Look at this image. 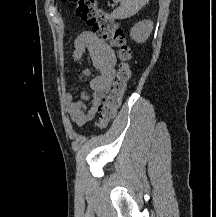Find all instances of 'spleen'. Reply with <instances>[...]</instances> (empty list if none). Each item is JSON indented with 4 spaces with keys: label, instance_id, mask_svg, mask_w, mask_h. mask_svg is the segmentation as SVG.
I'll return each instance as SVG.
<instances>
[{
    "label": "spleen",
    "instance_id": "spleen-1",
    "mask_svg": "<svg viewBox=\"0 0 216 217\" xmlns=\"http://www.w3.org/2000/svg\"><path fill=\"white\" fill-rule=\"evenodd\" d=\"M119 2L120 7L115 9L111 16L115 19H126L136 14L149 0H113Z\"/></svg>",
    "mask_w": 216,
    "mask_h": 217
}]
</instances>
